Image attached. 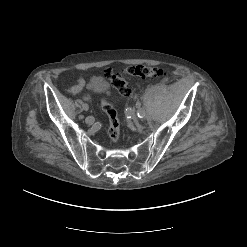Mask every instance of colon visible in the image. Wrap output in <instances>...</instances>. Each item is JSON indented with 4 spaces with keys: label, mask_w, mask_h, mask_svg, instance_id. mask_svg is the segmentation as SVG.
<instances>
[{
    "label": "colon",
    "mask_w": 247,
    "mask_h": 247,
    "mask_svg": "<svg viewBox=\"0 0 247 247\" xmlns=\"http://www.w3.org/2000/svg\"><path fill=\"white\" fill-rule=\"evenodd\" d=\"M165 75L163 69L146 65L128 66L117 73L111 70L105 72V76L110 80L111 85L124 96H128L131 93L126 76L137 77L145 81H157L164 79ZM101 105L109 119L108 136L111 142L115 143L120 136V124L117 111L105 97L102 98Z\"/></svg>",
    "instance_id": "colon-1"
}]
</instances>
